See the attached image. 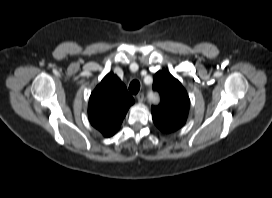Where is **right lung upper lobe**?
<instances>
[{"label": "right lung upper lobe", "mask_w": 272, "mask_h": 198, "mask_svg": "<svg viewBox=\"0 0 272 198\" xmlns=\"http://www.w3.org/2000/svg\"><path fill=\"white\" fill-rule=\"evenodd\" d=\"M134 103L125 85L113 73L106 75L91 93L88 105L90 123L105 137L114 135Z\"/></svg>", "instance_id": "obj_1"}]
</instances>
